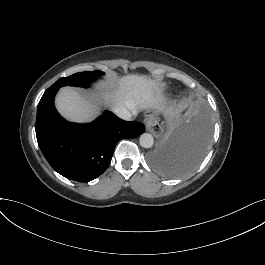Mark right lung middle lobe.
I'll list each match as a JSON object with an SVG mask.
<instances>
[{
    "instance_id": "dd1d6c3e",
    "label": "right lung middle lobe",
    "mask_w": 265,
    "mask_h": 265,
    "mask_svg": "<svg viewBox=\"0 0 265 265\" xmlns=\"http://www.w3.org/2000/svg\"><path fill=\"white\" fill-rule=\"evenodd\" d=\"M103 74L104 73L101 71L79 72L69 77L60 78L50 88H60L62 86L88 87L90 82L94 80L97 75Z\"/></svg>"
}]
</instances>
